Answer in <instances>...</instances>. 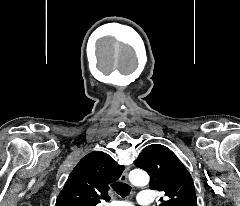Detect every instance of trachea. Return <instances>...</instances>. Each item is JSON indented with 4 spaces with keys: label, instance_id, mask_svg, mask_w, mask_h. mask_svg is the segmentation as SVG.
Masks as SVG:
<instances>
[{
    "label": "trachea",
    "instance_id": "obj_1",
    "mask_svg": "<svg viewBox=\"0 0 240 206\" xmlns=\"http://www.w3.org/2000/svg\"><path fill=\"white\" fill-rule=\"evenodd\" d=\"M116 193L122 197L127 196L130 193L131 187L124 182H116L111 185Z\"/></svg>",
    "mask_w": 240,
    "mask_h": 206
}]
</instances>
